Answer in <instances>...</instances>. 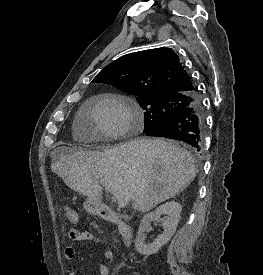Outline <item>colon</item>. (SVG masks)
I'll list each match as a JSON object with an SVG mask.
<instances>
[{"instance_id": "obj_1", "label": "colon", "mask_w": 263, "mask_h": 275, "mask_svg": "<svg viewBox=\"0 0 263 275\" xmlns=\"http://www.w3.org/2000/svg\"><path fill=\"white\" fill-rule=\"evenodd\" d=\"M64 213H65V217L66 219L71 222V223H75L78 221V212L72 208V207H65L64 209Z\"/></svg>"}]
</instances>
